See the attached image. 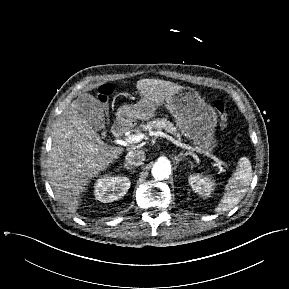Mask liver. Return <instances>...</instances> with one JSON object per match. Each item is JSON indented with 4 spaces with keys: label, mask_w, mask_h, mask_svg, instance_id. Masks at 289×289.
Returning <instances> with one entry per match:
<instances>
[{
    "label": "liver",
    "mask_w": 289,
    "mask_h": 289,
    "mask_svg": "<svg viewBox=\"0 0 289 289\" xmlns=\"http://www.w3.org/2000/svg\"><path fill=\"white\" fill-rule=\"evenodd\" d=\"M153 109L183 86L160 79H142L136 85ZM124 151L107 145L79 112L78 99L62 113L54 130L48 160V176L55 196L75 209L76 196L90 180L112 164Z\"/></svg>",
    "instance_id": "obj_1"
}]
</instances>
